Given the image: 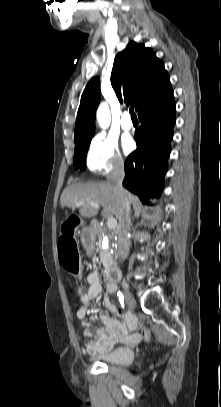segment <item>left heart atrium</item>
<instances>
[{
	"mask_svg": "<svg viewBox=\"0 0 221 407\" xmlns=\"http://www.w3.org/2000/svg\"><path fill=\"white\" fill-rule=\"evenodd\" d=\"M134 147V143L132 141V139L130 137H126L123 140V148L125 150V152H130Z\"/></svg>",
	"mask_w": 221,
	"mask_h": 407,
	"instance_id": "obj_1",
	"label": "left heart atrium"
}]
</instances>
